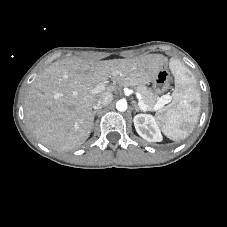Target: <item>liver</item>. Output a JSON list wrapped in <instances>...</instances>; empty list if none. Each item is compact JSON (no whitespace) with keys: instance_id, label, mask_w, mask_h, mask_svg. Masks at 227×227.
Masks as SVG:
<instances>
[{"instance_id":"6515ba94","label":"liver","mask_w":227,"mask_h":227,"mask_svg":"<svg viewBox=\"0 0 227 227\" xmlns=\"http://www.w3.org/2000/svg\"><path fill=\"white\" fill-rule=\"evenodd\" d=\"M163 55L94 61L67 58L47 67L27 88L24 116L27 128L43 145L56 151L79 148L90 136L93 105L119 87L148 84L166 65ZM112 78L116 85L93 94Z\"/></svg>"}]
</instances>
